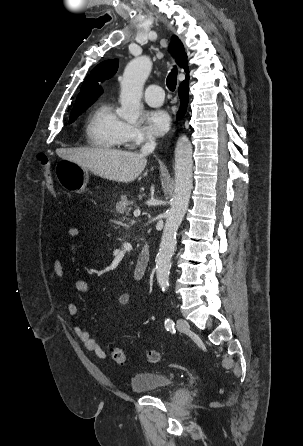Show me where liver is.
<instances>
[{
    "mask_svg": "<svg viewBox=\"0 0 303 446\" xmlns=\"http://www.w3.org/2000/svg\"><path fill=\"white\" fill-rule=\"evenodd\" d=\"M56 152L62 159L77 163L101 178L122 183L134 181L147 164L145 155L115 149L68 148Z\"/></svg>",
    "mask_w": 303,
    "mask_h": 446,
    "instance_id": "1",
    "label": "liver"
}]
</instances>
